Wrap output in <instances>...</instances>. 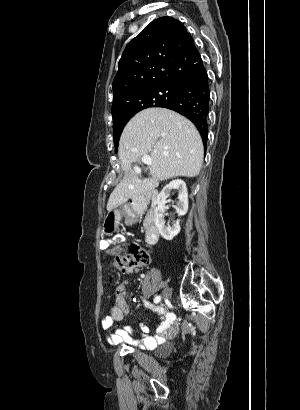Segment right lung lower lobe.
I'll return each mask as SVG.
<instances>
[{"instance_id": "obj_1", "label": "right lung lower lobe", "mask_w": 300, "mask_h": 410, "mask_svg": "<svg viewBox=\"0 0 300 410\" xmlns=\"http://www.w3.org/2000/svg\"><path fill=\"white\" fill-rule=\"evenodd\" d=\"M210 88L203 63L184 81L179 92L161 107L187 117L198 129L204 145L207 143Z\"/></svg>"}]
</instances>
